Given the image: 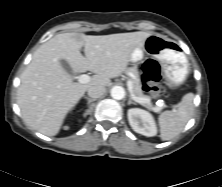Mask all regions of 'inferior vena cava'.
I'll return each mask as SVG.
<instances>
[{
  "label": "inferior vena cava",
  "mask_w": 222,
  "mask_h": 187,
  "mask_svg": "<svg viewBox=\"0 0 222 187\" xmlns=\"http://www.w3.org/2000/svg\"><path fill=\"white\" fill-rule=\"evenodd\" d=\"M87 91L91 98H99L105 93L106 88L101 85H95L91 86Z\"/></svg>",
  "instance_id": "inferior-vena-cava-1"
}]
</instances>
